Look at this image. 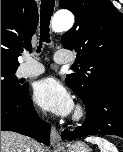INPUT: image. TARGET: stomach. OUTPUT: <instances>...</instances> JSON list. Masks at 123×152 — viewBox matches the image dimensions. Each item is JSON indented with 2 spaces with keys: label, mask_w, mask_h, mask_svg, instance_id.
<instances>
[{
  "label": "stomach",
  "mask_w": 123,
  "mask_h": 152,
  "mask_svg": "<svg viewBox=\"0 0 123 152\" xmlns=\"http://www.w3.org/2000/svg\"><path fill=\"white\" fill-rule=\"evenodd\" d=\"M66 152H92V150L85 143L77 141L70 145Z\"/></svg>",
  "instance_id": "0dacf381"
}]
</instances>
